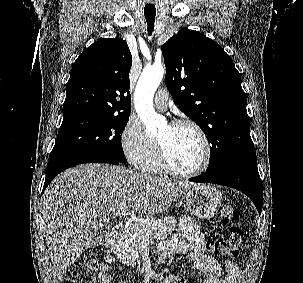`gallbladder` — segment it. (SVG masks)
<instances>
[{"instance_id": "bac80fb5", "label": "gallbladder", "mask_w": 303, "mask_h": 283, "mask_svg": "<svg viewBox=\"0 0 303 283\" xmlns=\"http://www.w3.org/2000/svg\"><path fill=\"white\" fill-rule=\"evenodd\" d=\"M106 237V231L101 228H97L93 234H92V239H91V246H98L100 245Z\"/></svg>"}]
</instances>
